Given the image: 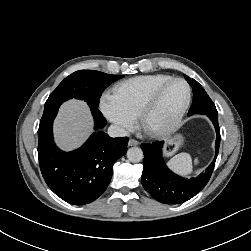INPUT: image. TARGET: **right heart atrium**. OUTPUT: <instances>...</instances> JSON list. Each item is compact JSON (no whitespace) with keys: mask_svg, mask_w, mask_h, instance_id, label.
I'll list each match as a JSON object with an SVG mask.
<instances>
[{"mask_svg":"<svg viewBox=\"0 0 251 251\" xmlns=\"http://www.w3.org/2000/svg\"><path fill=\"white\" fill-rule=\"evenodd\" d=\"M99 104L105 118L120 131L129 132L135 127L136 117L121 104L115 94L110 92L103 93Z\"/></svg>","mask_w":251,"mask_h":251,"instance_id":"1","label":"right heart atrium"}]
</instances>
